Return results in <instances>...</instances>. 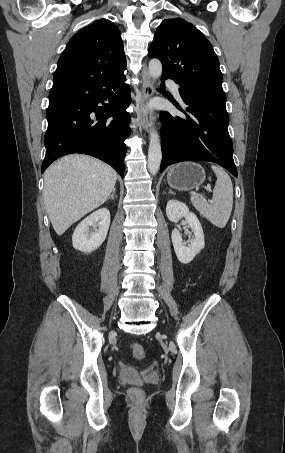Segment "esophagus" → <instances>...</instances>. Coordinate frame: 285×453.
I'll return each instance as SVG.
<instances>
[{
    "instance_id": "obj_1",
    "label": "esophagus",
    "mask_w": 285,
    "mask_h": 453,
    "mask_svg": "<svg viewBox=\"0 0 285 453\" xmlns=\"http://www.w3.org/2000/svg\"><path fill=\"white\" fill-rule=\"evenodd\" d=\"M142 79V95L138 102V121L140 126L146 131L149 132L152 127V115L151 112L147 109L146 103L153 94L152 81L147 70V66L144 63L143 69L141 72Z\"/></svg>"
}]
</instances>
